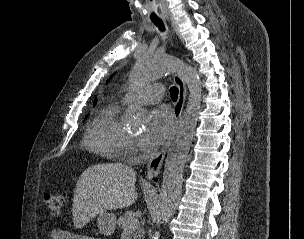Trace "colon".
I'll list each match as a JSON object with an SVG mask.
<instances>
[{
  "label": "colon",
  "mask_w": 304,
  "mask_h": 239,
  "mask_svg": "<svg viewBox=\"0 0 304 239\" xmlns=\"http://www.w3.org/2000/svg\"><path fill=\"white\" fill-rule=\"evenodd\" d=\"M43 201L52 216H59L65 205V195L63 193H46Z\"/></svg>",
  "instance_id": "5ec220e1"
}]
</instances>
